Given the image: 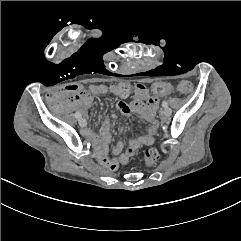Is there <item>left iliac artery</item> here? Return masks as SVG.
<instances>
[{
    "instance_id": "left-iliac-artery-1",
    "label": "left iliac artery",
    "mask_w": 241,
    "mask_h": 241,
    "mask_svg": "<svg viewBox=\"0 0 241 241\" xmlns=\"http://www.w3.org/2000/svg\"><path fill=\"white\" fill-rule=\"evenodd\" d=\"M162 106H163L164 108L168 107L167 101H163V102H162Z\"/></svg>"
}]
</instances>
